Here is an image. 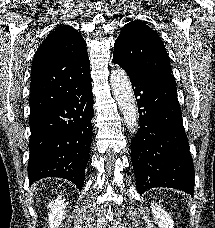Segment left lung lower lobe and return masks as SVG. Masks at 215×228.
Here are the masks:
<instances>
[{
  "instance_id": "1",
  "label": "left lung lower lobe",
  "mask_w": 215,
  "mask_h": 228,
  "mask_svg": "<svg viewBox=\"0 0 215 228\" xmlns=\"http://www.w3.org/2000/svg\"><path fill=\"white\" fill-rule=\"evenodd\" d=\"M127 74L140 114V128L131 141L138 193L167 187L193 195L195 172L174 77Z\"/></svg>"
}]
</instances>
